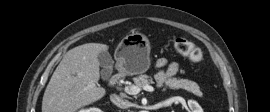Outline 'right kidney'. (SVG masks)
<instances>
[{
	"mask_svg": "<svg viewBox=\"0 0 270 112\" xmlns=\"http://www.w3.org/2000/svg\"><path fill=\"white\" fill-rule=\"evenodd\" d=\"M79 112H102L100 109L98 108H89V109H86V110H81Z\"/></svg>",
	"mask_w": 270,
	"mask_h": 112,
	"instance_id": "ca27d5eb",
	"label": "right kidney"
}]
</instances>
